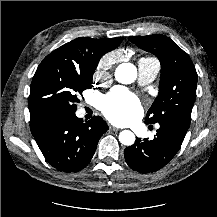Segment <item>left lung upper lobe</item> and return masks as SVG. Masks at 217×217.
Listing matches in <instances>:
<instances>
[{
    "label": "left lung upper lobe",
    "instance_id": "5c2ea615",
    "mask_svg": "<svg viewBox=\"0 0 217 217\" xmlns=\"http://www.w3.org/2000/svg\"><path fill=\"white\" fill-rule=\"evenodd\" d=\"M129 40L157 56L162 67L159 93L145 123L172 120L189 127L198 76L188 54L164 35L135 36Z\"/></svg>",
    "mask_w": 217,
    "mask_h": 217
}]
</instances>
